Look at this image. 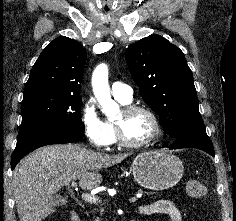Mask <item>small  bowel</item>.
<instances>
[{
    "label": "small bowel",
    "mask_w": 236,
    "mask_h": 221,
    "mask_svg": "<svg viewBox=\"0 0 236 221\" xmlns=\"http://www.w3.org/2000/svg\"><path fill=\"white\" fill-rule=\"evenodd\" d=\"M141 215H166L171 221H182V216L179 209L170 200H157L152 203L144 204L139 207Z\"/></svg>",
    "instance_id": "1"
}]
</instances>
